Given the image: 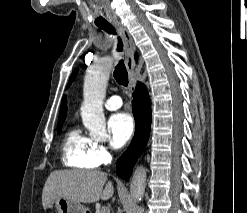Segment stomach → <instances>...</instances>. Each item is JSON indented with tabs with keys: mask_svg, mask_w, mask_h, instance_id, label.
I'll use <instances>...</instances> for the list:
<instances>
[{
	"mask_svg": "<svg viewBox=\"0 0 247 213\" xmlns=\"http://www.w3.org/2000/svg\"><path fill=\"white\" fill-rule=\"evenodd\" d=\"M56 207L58 213H88V209L80 202L63 197H52L46 203V208Z\"/></svg>",
	"mask_w": 247,
	"mask_h": 213,
	"instance_id": "0dacf381",
	"label": "stomach"
}]
</instances>
